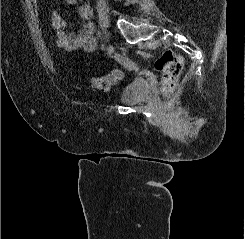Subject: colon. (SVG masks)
<instances>
[{
  "label": "colon",
  "instance_id": "5ec220e1",
  "mask_svg": "<svg viewBox=\"0 0 245 239\" xmlns=\"http://www.w3.org/2000/svg\"><path fill=\"white\" fill-rule=\"evenodd\" d=\"M45 3L51 0H42ZM182 56L166 49L163 50L155 59L154 67L157 71L161 72L162 76V91L164 94H169L177 85L178 79L183 69ZM124 73L121 69H115L112 73L104 76L93 77L90 84L94 89L99 91H108L116 83L122 80Z\"/></svg>",
  "mask_w": 245,
  "mask_h": 239
}]
</instances>
